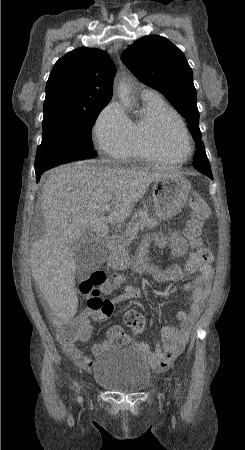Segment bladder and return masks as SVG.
<instances>
[{
    "instance_id": "31cf9c89",
    "label": "bladder",
    "mask_w": 245,
    "mask_h": 450,
    "mask_svg": "<svg viewBox=\"0 0 245 450\" xmlns=\"http://www.w3.org/2000/svg\"><path fill=\"white\" fill-rule=\"evenodd\" d=\"M93 380L116 392L138 393L149 387L151 372L139 351L123 347L97 359L93 367Z\"/></svg>"
}]
</instances>
